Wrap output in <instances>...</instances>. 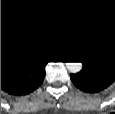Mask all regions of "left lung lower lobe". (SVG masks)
Here are the masks:
<instances>
[{"label": "left lung lower lobe", "mask_w": 115, "mask_h": 114, "mask_svg": "<svg viewBox=\"0 0 115 114\" xmlns=\"http://www.w3.org/2000/svg\"><path fill=\"white\" fill-rule=\"evenodd\" d=\"M70 78L79 89L95 93L112 84L115 81V73L97 66L83 65L82 70L77 74H71Z\"/></svg>", "instance_id": "1"}]
</instances>
